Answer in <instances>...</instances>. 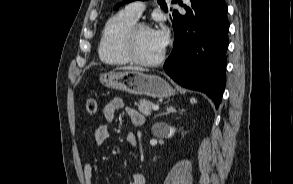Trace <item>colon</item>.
I'll return each instance as SVG.
<instances>
[{"label": "colon", "instance_id": "5ec220e1", "mask_svg": "<svg viewBox=\"0 0 293 184\" xmlns=\"http://www.w3.org/2000/svg\"><path fill=\"white\" fill-rule=\"evenodd\" d=\"M86 111L90 115H94L97 111V101L94 97H89L86 101Z\"/></svg>", "mask_w": 293, "mask_h": 184}]
</instances>
